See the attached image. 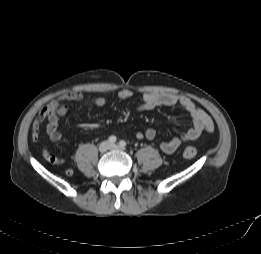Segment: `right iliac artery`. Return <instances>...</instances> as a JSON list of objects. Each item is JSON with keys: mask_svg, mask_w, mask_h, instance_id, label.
I'll use <instances>...</instances> for the list:
<instances>
[{"mask_svg": "<svg viewBox=\"0 0 261 254\" xmlns=\"http://www.w3.org/2000/svg\"><path fill=\"white\" fill-rule=\"evenodd\" d=\"M108 141H109L110 143H115V142H116V137H115V136H110V137L108 138Z\"/></svg>", "mask_w": 261, "mask_h": 254, "instance_id": "1", "label": "right iliac artery"}]
</instances>
